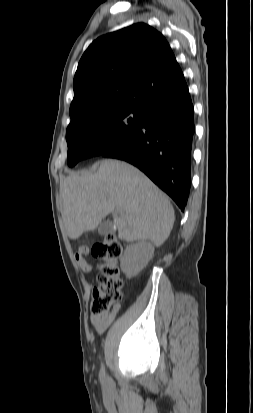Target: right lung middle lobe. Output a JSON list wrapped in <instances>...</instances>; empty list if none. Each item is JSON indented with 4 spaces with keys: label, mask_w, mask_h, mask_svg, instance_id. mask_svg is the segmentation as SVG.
Here are the masks:
<instances>
[{
    "label": "right lung middle lobe",
    "mask_w": 253,
    "mask_h": 413,
    "mask_svg": "<svg viewBox=\"0 0 253 413\" xmlns=\"http://www.w3.org/2000/svg\"><path fill=\"white\" fill-rule=\"evenodd\" d=\"M145 110L129 106L108 107L71 120L66 131L67 163L101 155L139 129Z\"/></svg>",
    "instance_id": "1"
}]
</instances>
